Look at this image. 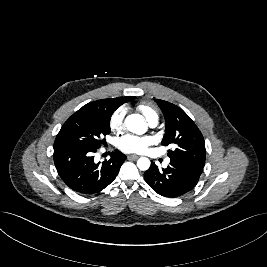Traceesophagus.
<instances>
[{"label":"esophagus","instance_id":"1","mask_svg":"<svg viewBox=\"0 0 267 267\" xmlns=\"http://www.w3.org/2000/svg\"><path fill=\"white\" fill-rule=\"evenodd\" d=\"M129 160H136V159H138L139 158V156L138 155H135V154H133V155H128V157H127Z\"/></svg>","mask_w":267,"mask_h":267}]
</instances>
